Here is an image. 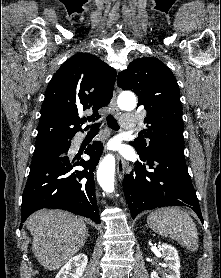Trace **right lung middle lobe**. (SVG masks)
Wrapping results in <instances>:
<instances>
[{
  "mask_svg": "<svg viewBox=\"0 0 221 278\" xmlns=\"http://www.w3.org/2000/svg\"><path fill=\"white\" fill-rule=\"evenodd\" d=\"M71 138L54 140L35 146L31 166L33 167L48 159L52 154L66 150L70 147Z\"/></svg>",
  "mask_w": 221,
  "mask_h": 278,
  "instance_id": "1",
  "label": "right lung middle lobe"
}]
</instances>
